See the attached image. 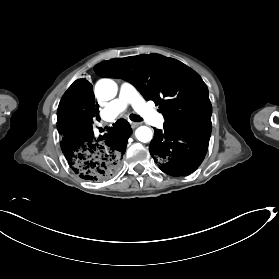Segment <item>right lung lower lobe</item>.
I'll list each match as a JSON object with an SVG mask.
<instances>
[{
    "label": "right lung lower lobe",
    "mask_w": 279,
    "mask_h": 279,
    "mask_svg": "<svg viewBox=\"0 0 279 279\" xmlns=\"http://www.w3.org/2000/svg\"><path fill=\"white\" fill-rule=\"evenodd\" d=\"M61 149L70 168L80 178L106 181L120 169L131 133L129 123L120 119L109 133L94 137L93 117L98 118L92 85L76 80L63 95L57 110Z\"/></svg>",
    "instance_id": "98d812e1"
}]
</instances>
